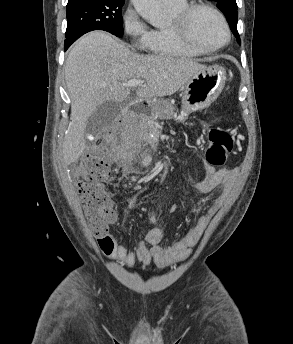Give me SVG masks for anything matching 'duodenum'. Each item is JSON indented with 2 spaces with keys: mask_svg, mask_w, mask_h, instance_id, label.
I'll return each mask as SVG.
<instances>
[{
  "mask_svg": "<svg viewBox=\"0 0 293 344\" xmlns=\"http://www.w3.org/2000/svg\"><path fill=\"white\" fill-rule=\"evenodd\" d=\"M131 109L127 110L123 116L120 118V124L123 125L129 120V114H130Z\"/></svg>",
  "mask_w": 293,
  "mask_h": 344,
  "instance_id": "410a0bca",
  "label": "duodenum"
}]
</instances>
